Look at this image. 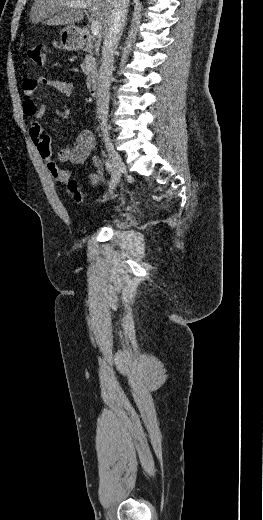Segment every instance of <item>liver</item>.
<instances>
[{
    "label": "liver",
    "instance_id": "6515ba94",
    "mask_svg": "<svg viewBox=\"0 0 263 520\" xmlns=\"http://www.w3.org/2000/svg\"><path fill=\"white\" fill-rule=\"evenodd\" d=\"M80 1L91 8V17L101 24L105 35L113 10L112 0H34L30 11V21L37 24L46 20L48 25H74L83 20L86 9L70 7L69 2Z\"/></svg>",
    "mask_w": 263,
    "mask_h": 520
}]
</instances>
